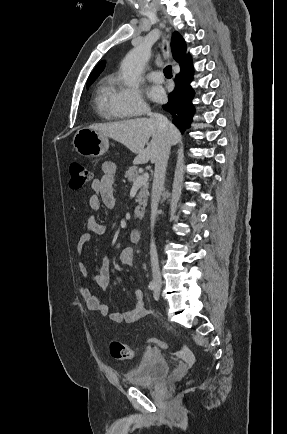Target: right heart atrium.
<instances>
[{"mask_svg": "<svg viewBox=\"0 0 287 434\" xmlns=\"http://www.w3.org/2000/svg\"><path fill=\"white\" fill-rule=\"evenodd\" d=\"M112 103L123 116H136L148 111V105L136 86L117 84L112 95Z\"/></svg>", "mask_w": 287, "mask_h": 434, "instance_id": "right-heart-atrium-1", "label": "right heart atrium"}]
</instances>
